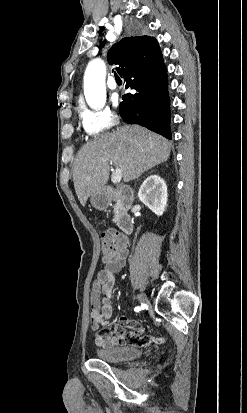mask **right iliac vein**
I'll use <instances>...</instances> for the list:
<instances>
[{"label": "right iliac vein", "mask_w": 247, "mask_h": 413, "mask_svg": "<svg viewBox=\"0 0 247 413\" xmlns=\"http://www.w3.org/2000/svg\"><path fill=\"white\" fill-rule=\"evenodd\" d=\"M137 299L140 303H149L148 298L144 294H139Z\"/></svg>", "instance_id": "63e3f726"}]
</instances>
